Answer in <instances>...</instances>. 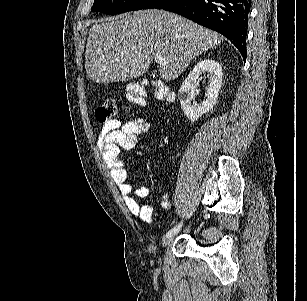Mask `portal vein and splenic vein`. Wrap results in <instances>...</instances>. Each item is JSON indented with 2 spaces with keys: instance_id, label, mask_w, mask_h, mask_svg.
Segmentation results:
<instances>
[{
  "instance_id": "portal-vein-and-splenic-vein-1",
  "label": "portal vein and splenic vein",
  "mask_w": 307,
  "mask_h": 301,
  "mask_svg": "<svg viewBox=\"0 0 307 301\" xmlns=\"http://www.w3.org/2000/svg\"><path fill=\"white\" fill-rule=\"evenodd\" d=\"M155 58V62H159V64H166L163 56H161V54H155L154 56Z\"/></svg>"
}]
</instances>
